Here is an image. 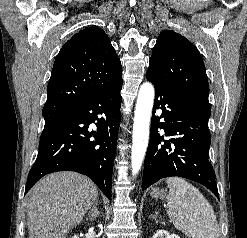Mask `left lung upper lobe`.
<instances>
[{
	"label": "left lung upper lobe",
	"instance_id": "obj_1",
	"mask_svg": "<svg viewBox=\"0 0 247 238\" xmlns=\"http://www.w3.org/2000/svg\"><path fill=\"white\" fill-rule=\"evenodd\" d=\"M147 74L172 94L210 115L209 85L202 57L182 35L171 30L160 33Z\"/></svg>",
	"mask_w": 247,
	"mask_h": 238
}]
</instances>
